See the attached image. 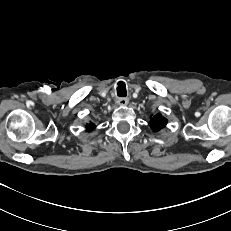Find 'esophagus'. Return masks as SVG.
<instances>
[{
  "label": "esophagus",
  "instance_id": "34e87169",
  "mask_svg": "<svg viewBox=\"0 0 231 231\" xmlns=\"http://www.w3.org/2000/svg\"><path fill=\"white\" fill-rule=\"evenodd\" d=\"M116 102H117V104L119 106H126L129 103V98H127V97H120V98L117 99Z\"/></svg>",
  "mask_w": 231,
  "mask_h": 231
}]
</instances>
